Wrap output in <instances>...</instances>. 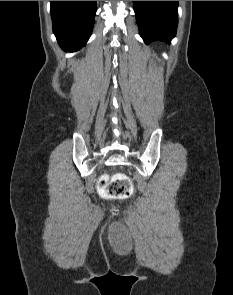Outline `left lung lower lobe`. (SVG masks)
<instances>
[{
    "instance_id": "left-lung-lower-lobe-1",
    "label": "left lung lower lobe",
    "mask_w": 233,
    "mask_h": 295,
    "mask_svg": "<svg viewBox=\"0 0 233 295\" xmlns=\"http://www.w3.org/2000/svg\"><path fill=\"white\" fill-rule=\"evenodd\" d=\"M140 35L146 44H170L178 25V1H133Z\"/></svg>"
}]
</instances>
